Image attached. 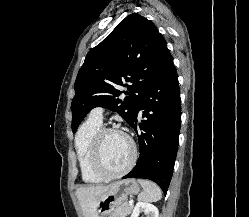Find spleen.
I'll return each instance as SVG.
<instances>
[{
  "label": "spleen",
  "instance_id": "1",
  "mask_svg": "<svg viewBox=\"0 0 249 217\" xmlns=\"http://www.w3.org/2000/svg\"><path fill=\"white\" fill-rule=\"evenodd\" d=\"M138 182L143 187V192L138 195L139 201L155 202L161 199L162 193L157 184L144 179H138Z\"/></svg>",
  "mask_w": 249,
  "mask_h": 217
}]
</instances>
